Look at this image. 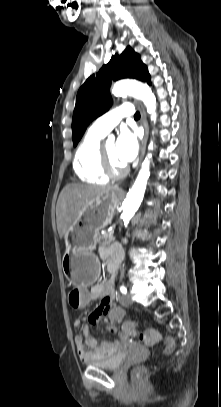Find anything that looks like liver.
<instances>
[{"instance_id": "obj_1", "label": "liver", "mask_w": 221, "mask_h": 407, "mask_svg": "<svg viewBox=\"0 0 221 407\" xmlns=\"http://www.w3.org/2000/svg\"><path fill=\"white\" fill-rule=\"evenodd\" d=\"M110 187L83 184H68L61 191L56 205L57 230L62 238L86 208L99 194Z\"/></svg>"}]
</instances>
